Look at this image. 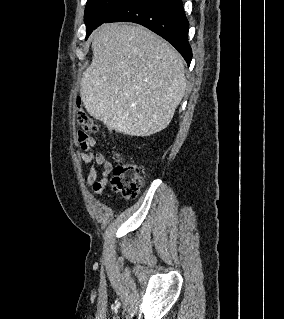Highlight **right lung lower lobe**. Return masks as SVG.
Segmentation results:
<instances>
[{"mask_svg": "<svg viewBox=\"0 0 284 319\" xmlns=\"http://www.w3.org/2000/svg\"><path fill=\"white\" fill-rule=\"evenodd\" d=\"M120 21L135 22L157 33L171 43L190 65L192 50L188 43L189 23L182 0H133L105 23Z\"/></svg>", "mask_w": 284, "mask_h": 319, "instance_id": "obj_1", "label": "right lung lower lobe"}]
</instances>
